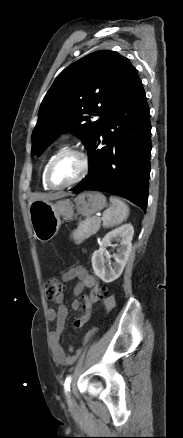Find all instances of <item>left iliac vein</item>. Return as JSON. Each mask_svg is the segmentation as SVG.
I'll return each mask as SVG.
<instances>
[{"instance_id":"4c4485c4","label":"left iliac vein","mask_w":183,"mask_h":438,"mask_svg":"<svg viewBox=\"0 0 183 438\" xmlns=\"http://www.w3.org/2000/svg\"><path fill=\"white\" fill-rule=\"evenodd\" d=\"M75 404L74 398L70 395L69 397V405L73 406Z\"/></svg>"}]
</instances>
